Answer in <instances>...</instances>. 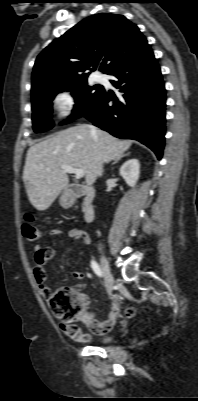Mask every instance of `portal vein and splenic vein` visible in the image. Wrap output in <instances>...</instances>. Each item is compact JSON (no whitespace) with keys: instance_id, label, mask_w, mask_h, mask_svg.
<instances>
[{"instance_id":"obj_1","label":"portal vein and splenic vein","mask_w":198,"mask_h":401,"mask_svg":"<svg viewBox=\"0 0 198 401\" xmlns=\"http://www.w3.org/2000/svg\"><path fill=\"white\" fill-rule=\"evenodd\" d=\"M61 167L65 172L70 173V174H75V176L77 178L84 177V171L82 169L74 168V167H71L68 165H62Z\"/></svg>"}]
</instances>
